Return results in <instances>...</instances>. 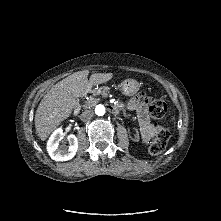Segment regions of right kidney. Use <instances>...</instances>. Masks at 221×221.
<instances>
[{
	"mask_svg": "<svg viewBox=\"0 0 221 221\" xmlns=\"http://www.w3.org/2000/svg\"><path fill=\"white\" fill-rule=\"evenodd\" d=\"M64 138L61 128L57 129L49 138L47 151L50 157L55 161H67L72 159L78 150V139L75 135H68L69 146L60 144Z\"/></svg>",
	"mask_w": 221,
	"mask_h": 221,
	"instance_id": "1",
	"label": "right kidney"
}]
</instances>
